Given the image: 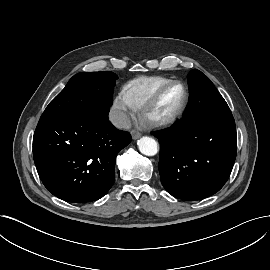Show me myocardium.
<instances>
[{"mask_svg": "<svg viewBox=\"0 0 270 270\" xmlns=\"http://www.w3.org/2000/svg\"><path fill=\"white\" fill-rule=\"evenodd\" d=\"M173 86L182 89V99L173 108L162 113H156L164 93ZM189 102V90L187 86L179 80H170L162 85L155 94L143 105L140 111L142 121L150 127L161 128L174 123L185 112Z\"/></svg>", "mask_w": 270, "mask_h": 270, "instance_id": "f54148a6", "label": "myocardium"}]
</instances>
